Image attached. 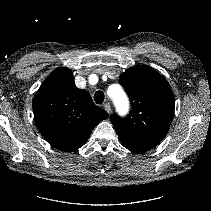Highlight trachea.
I'll return each instance as SVG.
<instances>
[{"mask_svg": "<svg viewBox=\"0 0 211 211\" xmlns=\"http://www.w3.org/2000/svg\"><path fill=\"white\" fill-rule=\"evenodd\" d=\"M94 101L96 104H102L104 102V93L102 91H96L94 94Z\"/></svg>", "mask_w": 211, "mask_h": 211, "instance_id": "1", "label": "trachea"}]
</instances>
